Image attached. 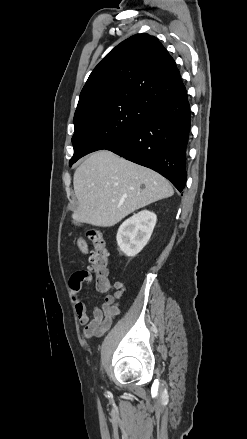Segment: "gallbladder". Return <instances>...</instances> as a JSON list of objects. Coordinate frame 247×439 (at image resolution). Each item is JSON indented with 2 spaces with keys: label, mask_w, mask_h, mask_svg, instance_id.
Returning <instances> with one entry per match:
<instances>
[{
  "label": "gallbladder",
  "mask_w": 247,
  "mask_h": 439,
  "mask_svg": "<svg viewBox=\"0 0 247 439\" xmlns=\"http://www.w3.org/2000/svg\"><path fill=\"white\" fill-rule=\"evenodd\" d=\"M74 223L77 224L78 222L74 220Z\"/></svg>",
  "instance_id": "1"
}]
</instances>
